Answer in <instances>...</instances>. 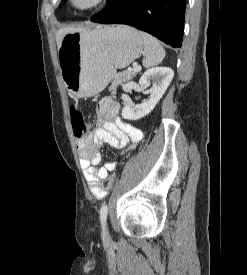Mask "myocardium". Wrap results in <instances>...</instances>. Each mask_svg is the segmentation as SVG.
I'll return each instance as SVG.
<instances>
[{
    "label": "myocardium",
    "instance_id": "1",
    "mask_svg": "<svg viewBox=\"0 0 247 275\" xmlns=\"http://www.w3.org/2000/svg\"><path fill=\"white\" fill-rule=\"evenodd\" d=\"M106 2L107 0H93L89 5L80 7L75 4L74 0H68L69 6L77 12H89V11L98 9L99 7L104 5Z\"/></svg>",
    "mask_w": 247,
    "mask_h": 275
}]
</instances>
